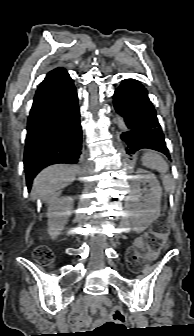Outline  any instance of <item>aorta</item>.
I'll return each instance as SVG.
<instances>
[{"mask_svg":"<svg viewBox=\"0 0 194 336\" xmlns=\"http://www.w3.org/2000/svg\"><path fill=\"white\" fill-rule=\"evenodd\" d=\"M116 124L118 126V128L121 130V132H125L127 130V127H126V124H125V121L123 119V117L119 114L116 115Z\"/></svg>","mask_w":194,"mask_h":336,"instance_id":"obj_1","label":"aorta"}]
</instances>
